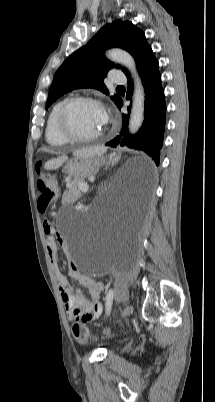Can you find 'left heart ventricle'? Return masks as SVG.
<instances>
[{
    "mask_svg": "<svg viewBox=\"0 0 215 402\" xmlns=\"http://www.w3.org/2000/svg\"><path fill=\"white\" fill-rule=\"evenodd\" d=\"M67 123L74 133L90 136L104 129L106 117L97 105L81 102L69 109Z\"/></svg>",
    "mask_w": 215,
    "mask_h": 402,
    "instance_id": "obj_1",
    "label": "left heart ventricle"
}]
</instances>
